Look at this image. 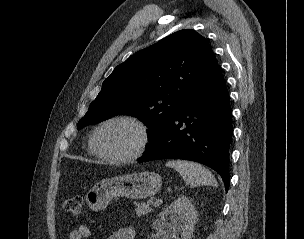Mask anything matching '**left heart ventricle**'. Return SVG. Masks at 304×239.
Segmentation results:
<instances>
[{"label":"left heart ventricle","mask_w":304,"mask_h":239,"mask_svg":"<svg viewBox=\"0 0 304 239\" xmlns=\"http://www.w3.org/2000/svg\"><path fill=\"white\" fill-rule=\"evenodd\" d=\"M138 141V130L133 125L123 122L103 127L97 136L100 149L111 155H122L132 151Z\"/></svg>","instance_id":"obj_1"}]
</instances>
